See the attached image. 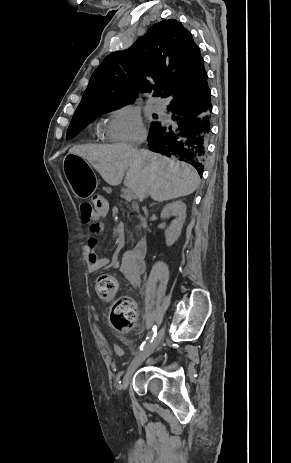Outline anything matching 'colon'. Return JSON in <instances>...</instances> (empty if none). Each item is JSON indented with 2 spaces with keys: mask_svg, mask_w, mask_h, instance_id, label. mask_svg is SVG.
I'll return each instance as SVG.
<instances>
[{
  "mask_svg": "<svg viewBox=\"0 0 291 463\" xmlns=\"http://www.w3.org/2000/svg\"><path fill=\"white\" fill-rule=\"evenodd\" d=\"M80 210L85 223L91 222L93 215L106 217L108 214L106 202L99 196L82 204ZM95 290L101 299L110 302L109 316L113 326L122 332L132 329L137 318L136 305L132 300L117 295V279L113 275L102 274L96 279Z\"/></svg>",
  "mask_w": 291,
  "mask_h": 463,
  "instance_id": "1",
  "label": "colon"
}]
</instances>
